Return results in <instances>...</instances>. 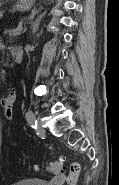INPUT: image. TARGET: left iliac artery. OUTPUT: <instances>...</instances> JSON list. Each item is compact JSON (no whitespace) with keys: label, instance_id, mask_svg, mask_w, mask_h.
<instances>
[{"label":"left iliac artery","instance_id":"obj_1","mask_svg":"<svg viewBox=\"0 0 119 185\" xmlns=\"http://www.w3.org/2000/svg\"><path fill=\"white\" fill-rule=\"evenodd\" d=\"M25 117H26L27 122L32 128H37V120H36L35 114L31 110H28L26 112Z\"/></svg>","mask_w":119,"mask_h":185}]
</instances>
